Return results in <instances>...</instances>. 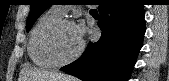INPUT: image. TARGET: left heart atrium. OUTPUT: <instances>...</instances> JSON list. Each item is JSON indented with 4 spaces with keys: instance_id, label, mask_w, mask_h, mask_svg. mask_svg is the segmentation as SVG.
Segmentation results:
<instances>
[{
    "instance_id": "39dd6f15",
    "label": "left heart atrium",
    "mask_w": 169,
    "mask_h": 81,
    "mask_svg": "<svg viewBox=\"0 0 169 81\" xmlns=\"http://www.w3.org/2000/svg\"><path fill=\"white\" fill-rule=\"evenodd\" d=\"M75 29H76L77 36L81 41L83 39V36H84V28H83V26L82 25H77V26H75Z\"/></svg>"
}]
</instances>
